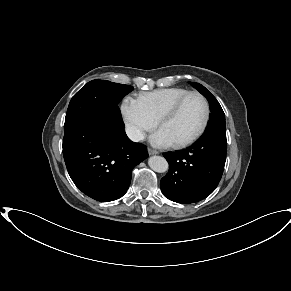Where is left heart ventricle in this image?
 I'll list each match as a JSON object with an SVG mask.
<instances>
[{"instance_id": "obj_1", "label": "left heart ventricle", "mask_w": 291, "mask_h": 291, "mask_svg": "<svg viewBox=\"0 0 291 291\" xmlns=\"http://www.w3.org/2000/svg\"><path fill=\"white\" fill-rule=\"evenodd\" d=\"M205 115V105L198 96H191L181 107L178 114L161 127L172 143L188 139L200 128Z\"/></svg>"}]
</instances>
